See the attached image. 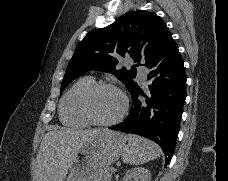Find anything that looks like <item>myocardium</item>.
<instances>
[{
  "mask_svg": "<svg viewBox=\"0 0 228 181\" xmlns=\"http://www.w3.org/2000/svg\"><path fill=\"white\" fill-rule=\"evenodd\" d=\"M105 87L113 88L116 91H118V93L122 97L123 106H122L121 111L115 117L108 119V120H98L92 116V114L89 110L88 97L93 91H95L99 88H105ZM128 106H129V101H128L126 94L123 92V90H121L113 82H109V81H100V82L93 83L84 91V93L81 95L80 100H79V110H80L82 117L85 120H87L89 123L98 125V126H109V125H113V124L117 123L126 114V112L128 110Z\"/></svg>",
  "mask_w": 228,
  "mask_h": 181,
  "instance_id": "myocardium-1",
  "label": "myocardium"
}]
</instances>
